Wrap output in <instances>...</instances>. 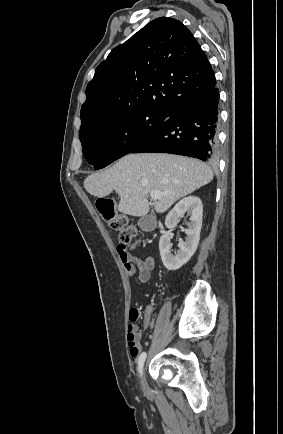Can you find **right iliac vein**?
Returning a JSON list of instances; mask_svg holds the SVG:
<instances>
[{"instance_id": "right-iliac-vein-1", "label": "right iliac vein", "mask_w": 283, "mask_h": 434, "mask_svg": "<svg viewBox=\"0 0 283 434\" xmlns=\"http://www.w3.org/2000/svg\"><path fill=\"white\" fill-rule=\"evenodd\" d=\"M142 388L144 389V391H148V384L144 372L142 373Z\"/></svg>"}]
</instances>
